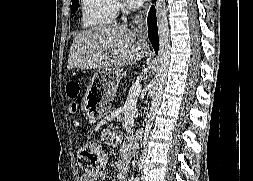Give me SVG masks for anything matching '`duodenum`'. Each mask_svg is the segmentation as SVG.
Returning <instances> with one entry per match:
<instances>
[{
  "label": "duodenum",
  "mask_w": 253,
  "mask_h": 181,
  "mask_svg": "<svg viewBox=\"0 0 253 181\" xmlns=\"http://www.w3.org/2000/svg\"><path fill=\"white\" fill-rule=\"evenodd\" d=\"M143 134H144V129L138 130L137 135H138L139 137L143 136Z\"/></svg>",
  "instance_id": "duodenum-1"
}]
</instances>
